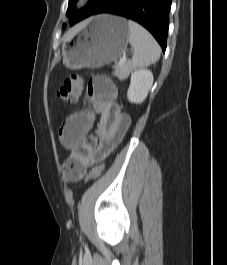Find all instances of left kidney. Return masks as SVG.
I'll use <instances>...</instances> for the list:
<instances>
[{
	"label": "left kidney",
	"instance_id": "1",
	"mask_svg": "<svg viewBox=\"0 0 227 265\" xmlns=\"http://www.w3.org/2000/svg\"><path fill=\"white\" fill-rule=\"evenodd\" d=\"M153 74L147 69H137L131 73L127 98L131 103H142L153 84Z\"/></svg>",
	"mask_w": 227,
	"mask_h": 265
}]
</instances>
